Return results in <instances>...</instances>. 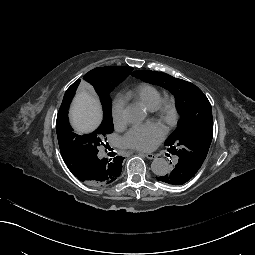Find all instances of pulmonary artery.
<instances>
[{"instance_id":"e3ab8cb5","label":"pulmonary artery","mask_w":255,"mask_h":255,"mask_svg":"<svg viewBox=\"0 0 255 255\" xmlns=\"http://www.w3.org/2000/svg\"><path fill=\"white\" fill-rule=\"evenodd\" d=\"M169 159H170L171 162L176 163V162L179 161L180 156H179L178 153L173 152V153L170 154Z\"/></svg>"}]
</instances>
